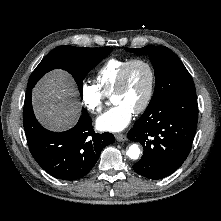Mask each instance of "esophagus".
<instances>
[{
    "instance_id": "1",
    "label": "esophagus",
    "mask_w": 221,
    "mask_h": 221,
    "mask_svg": "<svg viewBox=\"0 0 221 221\" xmlns=\"http://www.w3.org/2000/svg\"><path fill=\"white\" fill-rule=\"evenodd\" d=\"M115 138L119 142H123V141L127 140V136L125 134H122V133L115 134Z\"/></svg>"
}]
</instances>
